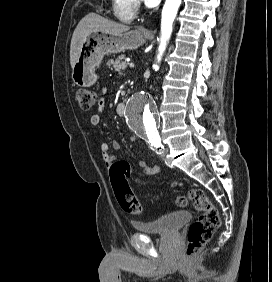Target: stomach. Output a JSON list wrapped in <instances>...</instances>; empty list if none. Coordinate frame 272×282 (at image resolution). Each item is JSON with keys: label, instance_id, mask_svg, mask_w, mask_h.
Instances as JSON below:
<instances>
[{"label": "stomach", "instance_id": "stomach-1", "mask_svg": "<svg viewBox=\"0 0 272 282\" xmlns=\"http://www.w3.org/2000/svg\"><path fill=\"white\" fill-rule=\"evenodd\" d=\"M146 37V33L140 29L120 34L103 32L90 34L83 43L72 69L74 84L80 87L93 85L97 80L95 69L101 63L104 55L136 49L145 43Z\"/></svg>", "mask_w": 272, "mask_h": 282}]
</instances>
